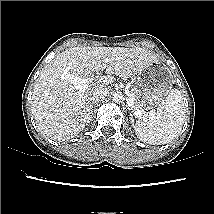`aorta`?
<instances>
[{
  "label": "aorta",
  "instance_id": "762f6f07",
  "mask_svg": "<svg viewBox=\"0 0 214 214\" xmlns=\"http://www.w3.org/2000/svg\"><path fill=\"white\" fill-rule=\"evenodd\" d=\"M112 100L115 103H119L123 100V94L119 91L115 92L112 96Z\"/></svg>",
  "mask_w": 214,
  "mask_h": 214
}]
</instances>
